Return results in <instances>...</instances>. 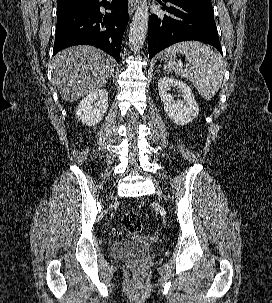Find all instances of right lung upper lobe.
<instances>
[{"label":"right lung upper lobe","mask_w":272,"mask_h":303,"mask_svg":"<svg viewBox=\"0 0 272 303\" xmlns=\"http://www.w3.org/2000/svg\"><path fill=\"white\" fill-rule=\"evenodd\" d=\"M93 0H58V5H68V4H76L83 2H91Z\"/></svg>","instance_id":"1"}]
</instances>
